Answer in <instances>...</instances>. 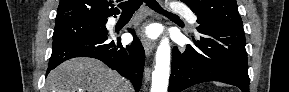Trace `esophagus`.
Instances as JSON below:
<instances>
[{
    "label": "esophagus",
    "mask_w": 289,
    "mask_h": 92,
    "mask_svg": "<svg viewBox=\"0 0 289 92\" xmlns=\"http://www.w3.org/2000/svg\"><path fill=\"white\" fill-rule=\"evenodd\" d=\"M149 15H150V20H153L154 19V13L150 12ZM141 41H142V45L144 47L145 53L149 57L150 54L152 53V51L156 47V42L154 40L148 39L144 35H141Z\"/></svg>",
    "instance_id": "obj_1"
}]
</instances>
